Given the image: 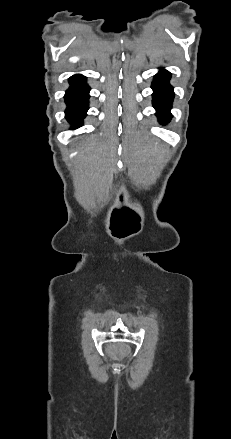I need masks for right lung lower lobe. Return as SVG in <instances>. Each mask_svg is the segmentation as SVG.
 Masks as SVG:
<instances>
[{"label": "right lung lower lobe", "mask_w": 231, "mask_h": 439, "mask_svg": "<svg viewBox=\"0 0 231 439\" xmlns=\"http://www.w3.org/2000/svg\"><path fill=\"white\" fill-rule=\"evenodd\" d=\"M86 78L82 75H74L69 78L70 88L66 91L64 99L67 104L65 118L73 125L72 129L78 128L83 123V118L88 110L90 87L85 83Z\"/></svg>", "instance_id": "obj_1"}]
</instances>
